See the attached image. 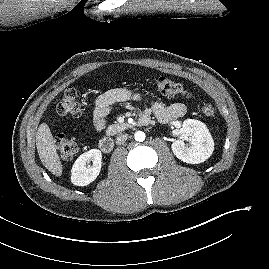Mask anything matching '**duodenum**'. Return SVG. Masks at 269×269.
Segmentation results:
<instances>
[{"mask_svg":"<svg viewBox=\"0 0 269 269\" xmlns=\"http://www.w3.org/2000/svg\"><path fill=\"white\" fill-rule=\"evenodd\" d=\"M139 123L141 125H148L150 123L149 119H140ZM99 147L102 152L110 153L114 148V141L111 137H103L99 142Z\"/></svg>","mask_w":269,"mask_h":269,"instance_id":"duodenum-1","label":"duodenum"}]
</instances>
